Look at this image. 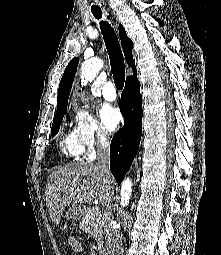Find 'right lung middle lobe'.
<instances>
[{"label":"right lung middle lobe","instance_id":"dd1d6c3e","mask_svg":"<svg viewBox=\"0 0 221 255\" xmlns=\"http://www.w3.org/2000/svg\"><path fill=\"white\" fill-rule=\"evenodd\" d=\"M64 113H65V111L59 112V113H56V115L54 116L52 129H51V134L52 135H55V134L58 133L61 121H62L63 116H64Z\"/></svg>","mask_w":221,"mask_h":255}]
</instances>
